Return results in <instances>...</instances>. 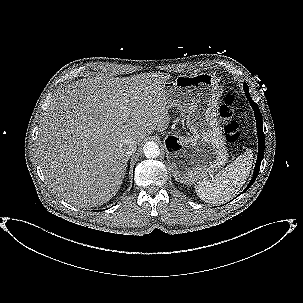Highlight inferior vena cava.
<instances>
[{
  "instance_id": "obj_1",
  "label": "inferior vena cava",
  "mask_w": 303,
  "mask_h": 303,
  "mask_svg": "<svg viewBox=\"0 0 303 303\" xmlns=\"http://www.w3.org/2000/svg\"><path fill=\"white\" fill-rule=\"evenodd\" d=\"M120 146L128 158L136 151V142L132 138H125L121 141Z\"/></svg>"
}]
</instances>
